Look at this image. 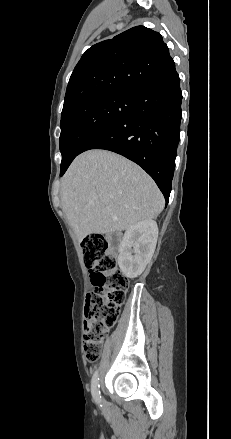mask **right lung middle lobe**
<instances>
[{
  "label": "right lung middle lobe",
  "instance_id": "dd1d6c3e",
  "mask_svg": "<svg viewBox=\"0 0 231 439\" xmlns=\"http://www.w3.org/2000/svg\"><path fill=\"white\" fill-rule=\"evenodd\" d=\"M133 93L104 94L84 100L61 115V171L97 131L134 109Z\"/></svg>",
  "mask_w": 231,
  "mask_h": 439
}]
</instances>
